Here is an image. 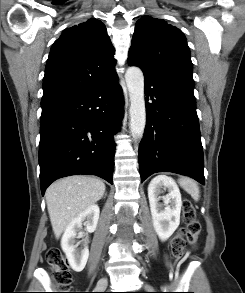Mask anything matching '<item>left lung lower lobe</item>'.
Segmentation results:
<instances>
[{"instance_id":"left-lung-lower-lobe-1","label":"left lung lower lobe","mask_w":245,"mask_h":293,"mask_svg":"<svg viewBox=\"0 0 245 293\" xmlns=\"http://www.w3.org/2000/svg\"><path fill=\"white\" fill-rule=\"evenodd\" d=\"M143 73L147 121L138 155L141 181L156 172H173L190 176L204 185L203 150L194 95Z\"/></svg>"}]
</instances>
